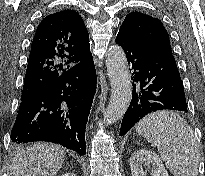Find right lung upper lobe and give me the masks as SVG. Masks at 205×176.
I'll return each mask as SVG.
<instances>
[{
	"mask_svg": "<svg viewBox=\"0 0 205 176\" xmlns=\"http://www.w3.org/2000/svg\"><path fill=\"white\" fill-rule=\"evenodd\" d=\"M90 56L89 34L76 11L46 16L32 41L21 99Z\"/></svg>",
	"mask_w": 205,
	"mask_h": 176,
	"instance_id": "cb5924a9",
	"label": "right lung upper lobe"
}]
</instances>
